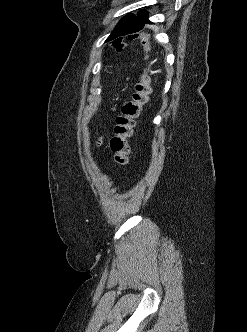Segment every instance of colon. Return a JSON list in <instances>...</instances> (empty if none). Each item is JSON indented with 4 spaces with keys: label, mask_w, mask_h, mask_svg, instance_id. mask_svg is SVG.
<instances>
[{
    "label": "colon",
    "mask_w": 247,
    "mask_h": 332,
    "mask_svg": "<svg viewBox=\"0 0 247 332\" xmlns=\"http://www.w3.org/2000/svg\"><path fill=\"white\" fill-rule=\"evenodd\" d=\"M130 39H138L143 48V58L148 60L150 52V37L142 32H133L129 36ZM121 39L113 42V46L117 50L123 48ZM152 77L148 67H145L134 86L132 98L125 102L121 108L120 115L117 116L114 126V136L110 140V147L113 152V159L119 168L128 165L130 146L129 138L133 133L136 119L139 117L142 108L148 103L152 91Z\"/></svg>",
    "instance_id": "obj_1"
}]
</instances>
